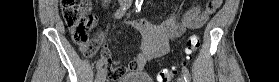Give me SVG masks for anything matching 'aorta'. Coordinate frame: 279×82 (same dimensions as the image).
I'll list each match as a JSON object with an SVG mask.
<instances>
[{
  "label": "aorta",
  "instance_id": "762f6f07",
  "mask_svg": "<svg viewBox=\"0 0 279 82\" xmlns=\"http://www.w3.org/2000/svg\"><path fill=\"white\" fill-rule=\"evenodd\" d=\"M136 3H137L138 5H141V4H142V0H136Z\"/></svg>",
  "mask_w": 279,
  "mask_h": 82
}]
</instances>
